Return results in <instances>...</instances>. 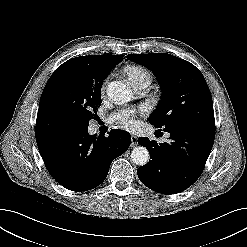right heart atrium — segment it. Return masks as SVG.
<instances>
[{
    "label": "right heart atrium",
    "instance_id": "1",
    "mask_svg": "<svg viewBox=\"0 0 247 247\" xmlns=\"http://www.w3.org/2000/svg\"><path fill=\"white\" fill-rule=\"evenodd\" d=\"M104 89H105V85L102 86V91H104Z\"/></svg>",
    "mask_w": 247,
    "mask_h": 247
}]
</instances>
